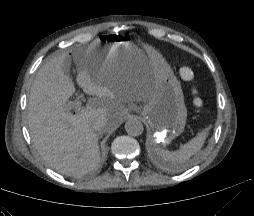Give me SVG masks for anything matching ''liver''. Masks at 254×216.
Segmentation results:
<instances>
[{
    "label": "liver",
    "mask_w": 254,
    "mask_h": 216,
    "mask_svg": "<svg viewBox=\"0 0 254 216\" xmlns=\"http://www.w3.org/2000/svg\"><path fill=\"white\" fill-rule=\"evenodd\" d=\"M95 42L80 50L77 83L90 99L80 113L66 106L75 87L68 75V53L51 58L38 71L28 102V125L41 157L65 175L82 176L100 162L98 132L93 126L105 121L104 130L114 129L125 111V103L147 102L154 78L147 66L103 72L93 79L89 72Z\"/></svg>",
    "instance_id": "6515ba94"
}]
</instances>
